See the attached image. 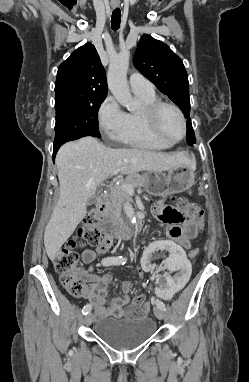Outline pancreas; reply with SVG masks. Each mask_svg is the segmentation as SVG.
Masks as SVG:
<instances>
[{
	"instance_id": "obj_1",
	"label": "pancreas",
	"mask_w": 249,
	"mask_h": 382,
	"mask_svg": "<svg viewBox=\"0 0 249 382\" xmlns=\"http://www.w3.org/2000/svg\"><path fill=\"white\" fill-rule=\"evenodd\" d=\"M123 184H130L133 188L138 189L148 186L145 176L132 173L120 185L113 187L110 193L109 211L114 215H120L122 204L130 200L129 194L122 188Z\"/></svg>"
}]
</instances>
